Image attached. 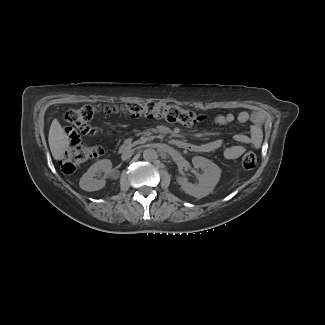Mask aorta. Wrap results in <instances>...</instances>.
<instances>
[{
  "label": "aorta",
  "mask_w": 325,
  "mask_h": 325,
  "mask_svg": "<svg viewBox=\"0 0 325 325\" xmlns=\"http://www.w3.org/2000/svg\"><path fill=\"white\" fill-rule=\"evenodd\" d=\"M157 152L152 148H147L143 151V158L146 161H154L157 159Z\"/></svg>",
  "instance_id": "1"
}]
</instances>
